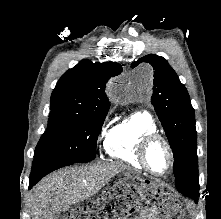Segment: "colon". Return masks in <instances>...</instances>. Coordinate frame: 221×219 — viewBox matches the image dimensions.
Masks as SVG:
<instances>
[{"instance_id": "colon-1", "label": "colon", "mask_w": 221, "mask_h": 219, "mask_svg": "<svg viewBox=\"0 0 221 219\" xmlns=\"http://www.w3.org/2000/svg\"><path fill=\"white\" fill-rule=\"evenodd\" d=\"M147 194L141 192L139 194V205L133 212L140 208H147L155 199H147ZM128 202V207L135 205V198L128 194L125 186H118L114 190L108 191L101 195L97 201L90 203L86 207L73 210L68 219H108L114 216L118 209V201ZM159 212L163 215V219H186L182 211L172 210L166 199H156Z\"/></svg>"}]
</instances>
